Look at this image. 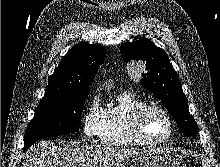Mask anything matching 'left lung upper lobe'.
I'll return each instance as SVG.
<instances>
[{
  "label": "left lung upper lobe",
  "instance_id": "left-lung-upper-lobe-1",
  "mask_svg": "<svg viewBox=\"0 0 220 167\" xmlns=\"http://www.w3.org/2000/svg\"><path fill=\"white\" fill-rule=\"evenodd\" d=\"M120 53L126 63L131 60H142L146 63L141 85L162 101L187 137H196L197 124L189 113L178 74L165 51L156 47L150 40L139 39L122 45Z\"/></svg>",
  "mask_w": 220,
  "mask_h": 167
}]
</instances>
